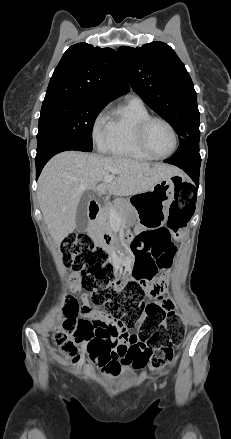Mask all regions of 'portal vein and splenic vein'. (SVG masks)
Segmentation results:
<instances>
[{"label":"portal vein and splenic vein","mask_w":231,"mask_h":439,"mask_svg":"<svg viewBox=\"0 0 231 439\" xmlns=\"http://www.w3.org/2000/svg\"><path fill=\"white\" fill-rule=\"evenodd\" d=\"M113 177L111 176H107L103 179L104 183H110L112 181ZM112 219H117L116 213L113 211L112 212Z\"/></svg>","instance_id":"obj_1"}]
</instances>
